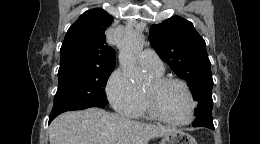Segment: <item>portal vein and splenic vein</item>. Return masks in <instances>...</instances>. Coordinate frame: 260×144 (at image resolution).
I'll return each instance as SVG.
<instances>
[{
	"instance_id": "18ae733b",
	"label": "portal vein and splenic vein",
	"mask_w": 260,
	"mask_h": 144,
	"mask_svg": "<svg viewBox=\"0 0 260 144\" xmlns=\"http://www.w3.org/2000/svg\"><path fill=\"white\" fill-rule=\"evenodd\" d=\"M110 144H116V142H111Z\"/></svg>"
}]
</instances>
